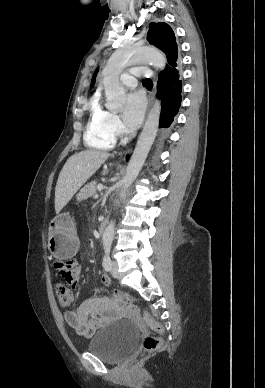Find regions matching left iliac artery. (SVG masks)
<instances>
[{
	"label": "left iliac artery",
	"mask_w": 265,
	"mask_h": 388,
	"mask_svg": "<svg viewBox=\"0 0 265 388\" xmlns=\"http://www.w3.org/2000/svg\"><path fill=\"white\" fill-rule=\"evenodd\" d=\"M104 249H105V255L103 257V267L106 271H110L111 270V265H112V262H111V258H110V245H105L104 246Z\"/></svg>",
	"instance_id": "obj_1"
}]
</instances>
